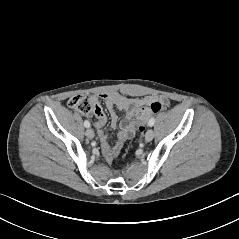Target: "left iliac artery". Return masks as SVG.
I'll list each match as a JSON object with an SVG mask.
<instances>
[{
    "label": "left iliac artery",
    "instance_id": "44dca946",
    "mask_svg": "<svg viewBox=\"0 0 239 239\" xmlns=\"http://www.w3.org/2000/svg\"><path fill=\"white\" fill-rule=\"evenodd\" d=\"M154 124H155V118L152 117V118L149 120L148 125H149V126H153Z\"/></svg>",
    "mask_w": 239,
    "mask_h": 239
}]
</instances>
